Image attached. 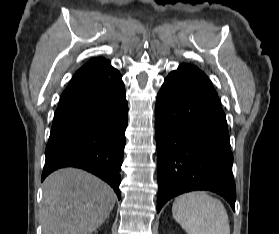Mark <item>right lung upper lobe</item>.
I'll use <instances>...</instances> for the list:
<instances>
[{
    "label": "right lung upper lobe",
    "mask_w": 279,
    "mask_h": 234,
    "mask_svg": "<svg viewBox=\"0 0 279 234\" xmlns=\"http://www.w3.org/2000/svg\"><path fill=\"white\" fill-rule=\"evenodd\" d=\"M109 60H106L105 58H94L87 62L85 65H83L73 76L72 80L77 79L81 76H84L86 74H89L98 68L102 67L103 65L109 63Z\"/></svg>",
    "instance_id": "cb5924a9"
}]
</instances>
